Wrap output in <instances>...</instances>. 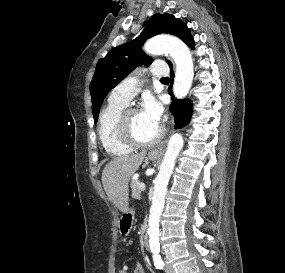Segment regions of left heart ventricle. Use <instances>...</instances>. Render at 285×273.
Returning a JSON list of instances; mask_svg holds the SVG:
<instances>
[{
	"label": "left heart ventricle",
	"instance_id": "left-heart-ventricle-1",
	"mask_svg": "<svg viewBox=\"0 0 285 273\" xmlns=\"http://www.w3.org/2000/svg\"><path fill=\"white\" fill-rule=\"evenodd\" d=\"M129 124L132 133L140 141H149L153 139L157 135L160 127L145 119L139 111L134 112L129 116Z\"/></svg>",
	"mask_w": 285,
	"mask_h": 273
}]
</instances>
